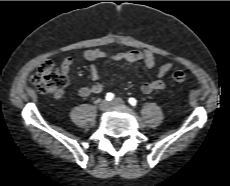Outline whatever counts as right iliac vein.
<instances>
[{
    "label": "right iliac vein",
    "mask_w": 230,
    "mask_h": 186,
    "mask_svg": "<svg viewBox=\"0 0 230 186\" xmlns=\"http://www.w3.org/2000/svg\"><path fill=\"white\" fill-rule=\"evenodd\" d=\"M111 103L107 100H102L99 104V109L101 111H106L110 107Z\"/></svg>",
    "instance_id": "obj_1"
}]
</instances>
